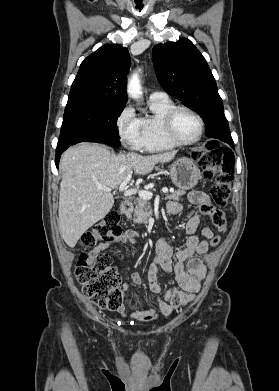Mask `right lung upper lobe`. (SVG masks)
Wrapping results in <instances>:
<instances>
[{
	"label": "right lung upper lobe",
	"instance_id": "1",
	"mask_svg": "<svg viewBox=\"0 0 279 391\" xmlns=\"http://www.w3.org/2000/svg\"><path fill=\"white\" fill-rule=\"evenodd\" d=\"M129 67L127 48L120 45L99 48L81 63L65 110L92 105L125 106Z\"/></svg>",
	"mask_w": 279,
	"mask_h": 391
}]
</instances>
